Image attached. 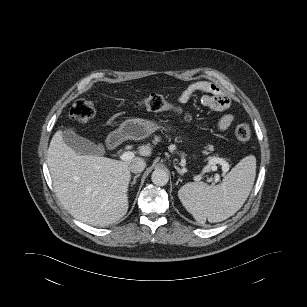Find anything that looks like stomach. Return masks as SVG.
Wrapping results in <instances>:
<instances>
[{"mask_svg": "<svg viewBox=\"0 0 307 307\" xmlns=\"http://www.w3.org/2000/svg\"><path fill=\"white\" fill-rule=\"evenodd\" d=\"M161 124L142 118L125 120L114 133L121 139L140 140L148 137L159 129H164Z\"/></svg>", "mask_w": 307, "mask_h": 307, "instance_id": "obj_1", "label": "stomach"}]
</instances>
